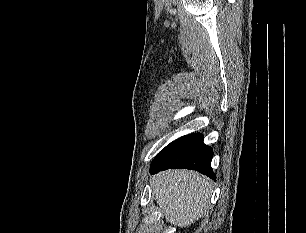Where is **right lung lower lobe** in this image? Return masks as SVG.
<instances>
[{
	"label": "right lung lower lobe",
	"instance_id": "98d812e1",
	"mask_svg": "<svg viewBox=\"0 0 306 233\" xmlns=\"http://www.w3.org/2000/svg\"><path fill=\"white\" fill-rule=\"evenodd\" d=\"M212 157V148L203 143V135L190 134L171 143L158 155L151 163L150 172L153 174L168 168H185L199 171L215 180L211 168Z\"/></svg>",
	"mask_w": 306,
	"mask_h": 233
}]
</instances>
